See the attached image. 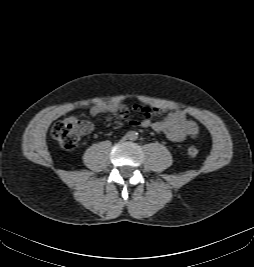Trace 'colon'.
<instances>
[{
	"label": "colon",
	"instance_id": "colon-1",
	"mask_svg": "<svg viewBox=\"0 0 254 267\" xmlns=\"http://www.w3.org/2000/svg\"><path fill=\"white\" fill-rule=\"evenodd\" d=\"M91 124L87 120L75 117H68L54 123L51 129L53 138L66 150L74 149L82 135L88 132ZM190 157L195 158L199 151L195 146H190L187 150Z\"/></svg>",
	"mask_w": 254,
	"mask_h": 267
}]
</instances>
